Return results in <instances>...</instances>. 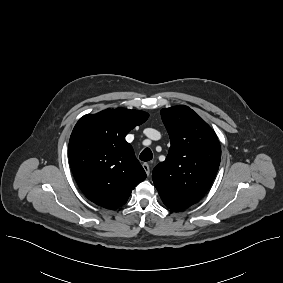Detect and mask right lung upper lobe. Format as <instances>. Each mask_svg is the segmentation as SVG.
I'll use <instances>...</instances> for the list:
<instances>
[{
    "label": "right lung upper lobe",
    "instance_id": "1",
    "mask_svg": "<svg viewBox=\"0 0 283 283\" xmlns=\"http://www.w3.org/2000/svg\"><path fill=\"white\" fill-rule=\"evenodd\" d=\"M149 114L125 108L87 114L69 140V161L85 196L105 208L124 205L131 191L146 178L125 136Z\"/></svg>",
    "mask_w": 283,
    "mask_h": 283
}]
</instances>
